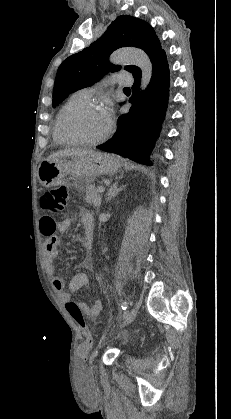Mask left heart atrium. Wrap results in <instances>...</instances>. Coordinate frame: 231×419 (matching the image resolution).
Returning a JSON list of instances; mask_svg holds the SVG:
<instances>
[{
	"mask_svg": "<svg viewBox=\"0 0 231 419\" xmlns=\"http://www.w3.org/2000/svg\"><path fill=\"white\" fill-rule=\"evenodd\" d=\"M102 112H103V115L106 119V122H107L108 126H110L111 123H112V120H113V112H112L111 107L105 108Z\"/></svg>",
	"mask_w": 231,
	"mask_h": 419,
	"instance_id": "1",
	"label": "left heart atrium"
}]
</instances>
